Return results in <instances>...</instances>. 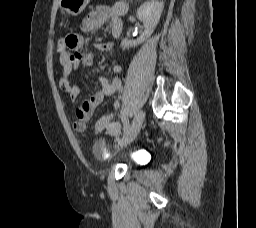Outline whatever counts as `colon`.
<instances>
[{
	"label": "colon",
	"instance_id": "5ec220e1",
	"mask_svg": "<svg viewBox=\"0 0 256 228\" xmlns=\"http://www.w3.org/2000/svg\"><path fill=\"white\" fill-rule=\"evenodd\" d=\"M61 45H62V40H59L58 48H60ZM110 123H112V121L109 115L101 116L95 123V129L97 132H101L104 129H107Z\"/></svg>",
	"mask_w": 256,
	"mask_h": 228
}]
</instances>
